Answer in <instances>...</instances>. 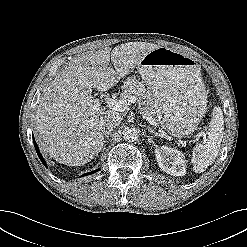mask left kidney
<instances>
[{
    "label": "left kidney",
    "mask_w": 247,
    "mask_h": 247,
    "mask_svg": "<svg viewBox=\"0 0 247 247\" xmlns=\"http://www.w3.org/2000/svg\"><path fill=\"white\" fill-rule=\"evenodd\" d=\"M154 152L162 171L173 176L186 174V160L182 152L167 146L158 147Z\"/></svg>",
    "instance_id": "5707ae66"
}]
</instances>
